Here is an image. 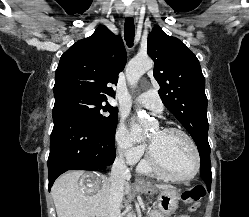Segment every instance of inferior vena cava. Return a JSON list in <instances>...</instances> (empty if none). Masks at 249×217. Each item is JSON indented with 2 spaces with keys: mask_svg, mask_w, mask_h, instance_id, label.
<instances>
[{
  "mask_svg": "<svg viewBox=\"0 0 249 217\" xmlns=\"http://www.w3.org/2000/svg\"><path fill=\"white\" fill-rule=\"evenodd\" d=\"M131 177L130 171L125 165L122 154L115 159L110 174L109 205L112 211H118L123 198V190L126 180Z\"/></svg>",
  "mask_w": 249,
  "mask_h": 217,
  "instance_id": "obj_1",
  "label": "inferior vena cava"
}]
</instances>
